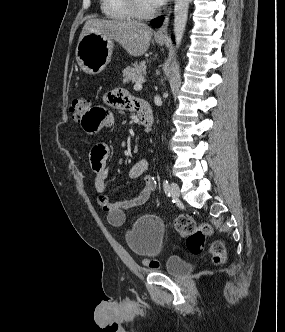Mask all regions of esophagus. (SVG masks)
Masks as SVG:
<instances>
[{
  "mask_svg": "<svg viewBox=\"0 0 285 332\" xmlns=\"http://www.w3.org/2000/svg\"><path fill=\"white\" fill-rule=\"evenodd\" d=\"M170 14H171V8H169L167 10V13L165 15V18H164V21H163L162 25L155 32V37H158V38L166 37L167 30H168V25H169Z\"/></svg>",
  "mask_w": 285,
  "mask_h": 332,
  "instance_id": "esophagus-1",
  "label": "esophagus"
}]
</instances>
